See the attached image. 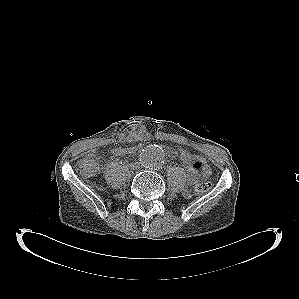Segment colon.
I'll list each match as a JSON object with an SVG mask.
<instances>
[{"instance_id": "1", "label": "colon", "mask_w": 299, "mask_h": 299, "mask_svg": "<svg viewBox=\"0 0 299 299\" xmlns=\"http://www.w3.org/2000/svg\"><path fill=\"white\" fill-rule=\"evenodd\" d=\"M177 156L179 160L186 166H190L195 161V155L183 147H178ZM78 171L85 177H91L98 171L97 161L93 154H84L80 157L77 163ZM211 189V183L200 182L194 187V192L197 195L206 193Z\"/></svg>"}]
</instances>
